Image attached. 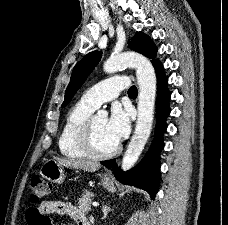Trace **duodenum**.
Returning a JSON list of instances; mask_svg holds the SVG:
<instances>
[{
  "label": "duodenum",
  "instance_id": "410a0bca",
  "mask_svg": "<svg viewBox=\"0 0 228 225\" xmlns=\"http://www.w3.org/2000/svg\"><path fill=\"white\" fill-rule=\"evenodd\" d=\"M77 224L78 225H90V223L88 222V220L85 217H82Z\"/></svg>",
  "mask_w": 228,
  "mask_h": 225
}]
</instances>
